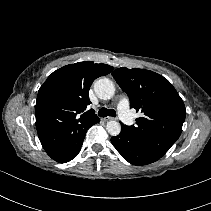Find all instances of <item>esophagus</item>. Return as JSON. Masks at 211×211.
Wrapping results in <instances>:
<instances>
[{
    "instance_id": "34e87169",
    "label": "esophagus",
    "mask_w": 211,
    "mask_h": 211,
    "mask_svg": "<svg viewBox=\"0 0 211 211\" xmlns=\"http://www.w3.org/2000/svg\"><path fill=\"white\" fill-rule=\"evenodd\" d=\"M104 120L105 121H109V120H117V119L116 118H113V117H106Z\"/></svg>"
}]
</instances>
